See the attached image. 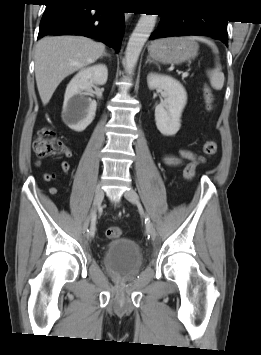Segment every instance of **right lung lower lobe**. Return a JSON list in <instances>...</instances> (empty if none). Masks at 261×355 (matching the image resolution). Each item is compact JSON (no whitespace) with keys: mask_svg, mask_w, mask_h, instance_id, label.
Returning a JSON list of instances; mask_svg holds the SVG:
<instances>
[{"mask_svg":"<svg viewBox=\"0 0 261 355\" xmlns=\"http://www.w3.org/2000/svg\"><path fill=\"white\" fill-rule=\"evenodd\" d=\"M38 39L45 35L79 34L97 38L119 51L124 34V12L96 9L103 4L87 0H46Z\"/></svg>","mask_w":261,"mask_h":355,"instance_id":"98d812e1","label":"right lung lower lobe"}]
</instances>
